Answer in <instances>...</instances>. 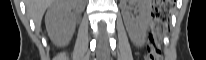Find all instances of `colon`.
I'll use <instances>...</instances> for the list:
<instances>
[{
	"label": "colon",
	"instance_id": "5ec220e1",
	"mask_svg": "<svg viewBox=\"0 0 206 60\" xmlns=\"http://www.w3.org/2000/svg\"><path fill=\"white\" fill-rule=\"evenodd\" d=\"M172 5L171 0H156L152 9L150 25V55L160 59V40L167 30L168 14Z\"/></svg>",
	"mask_w": 206,
	"mask_h": 60
}]
</instances>
